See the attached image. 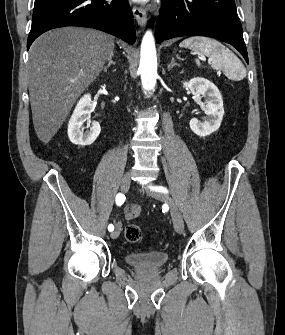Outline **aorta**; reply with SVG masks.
Wrapping results in <instances>:
<instances>
[{
  "label": "aorta",
  "instance_id": "aorta-1",
  "mask_svg": "<svg viewBox=\"0 0 285 335\" xmlns=\"http://www.w3.org/2000/svg\"><path fill=\"white\" fill-rule=\"evenodd\" d=\"M138 72L141 76L143 90H154L158 74L156 48L152 32H146L142 40ZM145 95L149 96L150 92L146 91Z\"/></svg>",
  "mask_w": 285,
  "mask_h": 335
}]
</instances>
